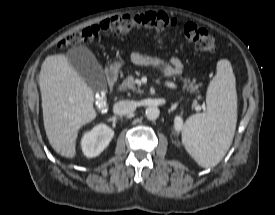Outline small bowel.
Wrapping results in <instances>:
<instances>
[{"label":"small bowel","mask_w":275,"mask_h":215,"mask_svg":"<svg viewBox=\"0 0 275 215\" xmlns=\"http://www.w3.org/2000/svg\"><path fill=\"white\" fill-rule=\"evenodd\" d=\"M132 59L134 61L137 60L135 57H132ZM161 67L167 77L178 76L182 73L183 70V64L178 57H172L168 64H162Z\"/></svg>","instance_id":"small-bowel-1"}]
</instances>
